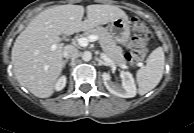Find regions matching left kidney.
Returning a JSON list of instances; mask_svg holds the SVG:
<instances>
[{
  "label": "left kidney",
  "instance_id": "left-kidney-1",
  "mask_svg": "<svg viewBox=\"0 0 194 133\" xmlns=\"http://www.w3.org/2000/svg\"><path fill=\"white\" fill-rule=\"evenodd\" d=\"M104 85L107 90L118 97L122 98H132L136 95L137 89L130 72H121L122 83H114L111 81V76L109 73L104 72L103 75Z\"/></svg>",
  "mask_w": 194,
  "mask_h": 133
}]
</instances>
